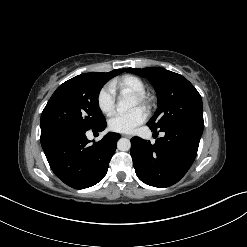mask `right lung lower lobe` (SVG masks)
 <instances>
[{"instance_id": "98d812e1", "label": "right lung lower lobe", "mask_w": 247, "mask_h": 247, "mask_svg": "<svg viewBox=\"0 0 247 247\" xmlns=\"http://www.w3.org/2000/svg\"><path fill=\"white\" fill-rule=\"evenodd\" d=\"M106 121L93 128L103 131ZM87 130L52 129L41 132V145L55 175L66 185L84 189L97 184L106 175L120 134L109 132L91 144Z\"/></svg>"}]
</instances>
